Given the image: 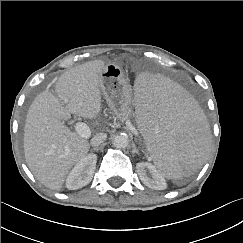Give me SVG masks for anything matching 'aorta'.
Instances as JSON below:
<instances>
[{
  "instance_id": "obj_1",
  "label": "aorta",
  "mask_w": 243,
  "mask_h": 243,
  "mask_svg": "<svg viewBox=\"0 0 243 243\" xmlns=\"http://www.w3.org/2000/svg\"><path fill=\"white\" fill-rule=\"evenodd\" d=\"M129 144V138L126 134L116 135L113 139V146L117 149H124Z\"/></svg>"
}]
</instances>
